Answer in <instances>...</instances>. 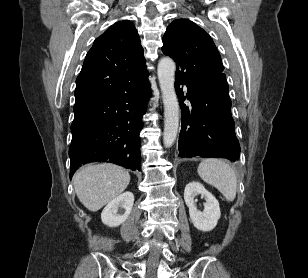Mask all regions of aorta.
<instances>
[{
    "label": "aorta",
    "mask_w": 308,
    "mask_h": 278,
    "mask_svg": "<svg viewBox=\"0 0 308 278\" xmlns=\"http://www.w3.org/2000/svg\"><path fill=\"white\" fill-rule=\"evenodd\" d=\"M176 65L174 61L165 57L158 63V80L162 92L164 104V134L163 143L165 147H171L176 139L179 126V103L175 92Z\"/></svg>",
    "instance_id": "obj_1"
}]
</instances>
